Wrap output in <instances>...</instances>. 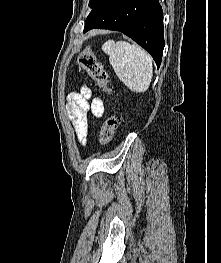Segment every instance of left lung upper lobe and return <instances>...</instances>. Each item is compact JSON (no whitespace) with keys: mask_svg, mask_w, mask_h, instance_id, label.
<instances>
[{"mask_svg":"<svg viewBox=\"0 0 221 263\" xmlns=\"http://www.w3.org/2000/svg\"><path fill=\"white\" fill-rule=\"evenodd\" d=\"M102 0H90L89 6L90 8H94L96 5H98Z\"/></svg>","mask_w":221,"mask_h":263,"instance_id":"obj_1","label":"left lung upper lobe"}]
</instances>
